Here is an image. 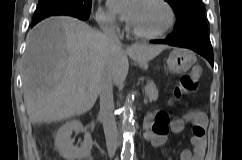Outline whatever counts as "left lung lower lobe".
I'll use <instances>...</instances> for the list:
<instances>
[{"mask_svg": "<svg viewBox=\"0 0 242 160\" xmlns=\"http://www.w3.org/2000/svg\"><path fill=\"white\" fill-rule=\"evenodd\" d=\"M151 42L169 44L171 46L184 47L194 50L205 57L213 67L214 57L208 32L192 33L181 38L168 36L165 40H152Z\"/></svg>", "mask_w": 242, "mask_h": 160, "instance_id": "obj_1", "label": "left lung lower lobe"}]
</instances>
